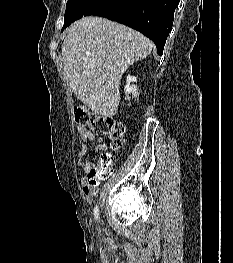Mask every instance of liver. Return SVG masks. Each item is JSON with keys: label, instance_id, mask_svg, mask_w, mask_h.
<instances>
[{"label": "liver", "instance_id": "1", "mask_svg": "<svg viewBox=\"0 0 233 263\" xmlns=\"http://www.w3.org/2000/svg\"><path fill=\"white\" fill-rule=\"evenodd\" d=\"M153 47L147 37L125 25L84 17L68 28L62 44L68 85L94 113L112 117L117 114L123 74Z\"/></svg>", "mask_w": 233, "mask_h": 263}]
</instances>
